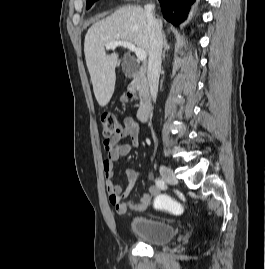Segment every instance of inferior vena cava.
Wrapping results in <instances>:
<instances>
[{
  "label": "inferior vena cava",
  "mask_w": 265,
  "mask_h": 269,
  "mask_svg": "<svg viewBox=\"0 0 265 269\" xmlns=\"http://www.w3.org/2000/svg\"><path fill=\"white\" fill-rule=\"evenodd\" d=\"M155 5L147 4L145 6V14L147 18L150 52L148 58L147 78L153 102H156L159 76L161 71V56L163 48V34L162 29L153 15Z\"/></svg>",
  "instance_id": "1"
}]
</instances>
